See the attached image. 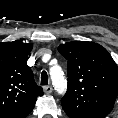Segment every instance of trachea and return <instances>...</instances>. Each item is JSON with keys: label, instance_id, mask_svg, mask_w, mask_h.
<instances>
[{"label": "trachea", "instance_id": "3493384b", "mask_svg": "<svg viewBox=\"0 0 118 118\" xmlns=\"http://www.w3.org/2000/svg\"><path fill=\"white\" fill-rule=\"evenodd\" d=\"M41 85H48V75L46 71H42L41 74Z\"/></svg>", "mask_w": 118, "mask_h": 118}]
</instances>
